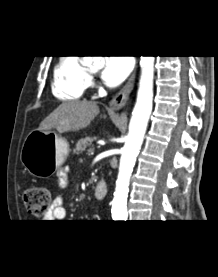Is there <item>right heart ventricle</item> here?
<instances>
[{
	"label": "right heart ventricle",
	"mask_w": 218,
	"mask_h": 277,
	"mask_svg": "<svg viewBox=\"0 0 218 277\" xmlns=\"http://www.w3.org/2000/svg\"><path fill=\"white\" fill-rule=\"evenodd\" d=\"M88 86V70L75 56L61 57L53 70L52 93L62 101L79 100Z\"/></svg>",
	"instance_id": "1"
}]
</instances>
